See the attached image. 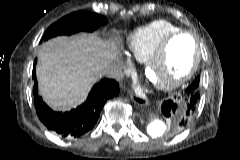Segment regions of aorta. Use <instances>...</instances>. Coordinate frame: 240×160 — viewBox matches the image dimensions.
I'll use <instances>...</instances> for the list:
<instances>
[{"label": "aorta", "instance_id": "762f6f07", "mask_svg": "<svg viewBox=\"0 0 240 160\" xmlns=\"http://www.w3.org/2000/svg\"><path fill=\"white\" fill-rule=\"evenodd\" d=\"M146 125L148 134L153 138L162 136L167 129V124L155 113L147 116Z\"/></svg>", "mask_w": 240, "mask_h": 160}]
</instances>
